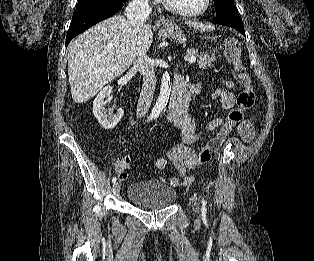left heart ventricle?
<instances>
[{"label": "left heart ventricle", "mask_w": 314, "mask_h": 261, "mask_svg": "<svg viewBox=\"0 0 314 261\" xmlns=\"http://www.w3.org/2000/svg\"><path fill=\"white\" fill-rule=\"evenodd\" d=\"M174 6L184 10H197L202 7L204 0H169Z\"/></svg>", "instance_id": "1"}]
</instances>
